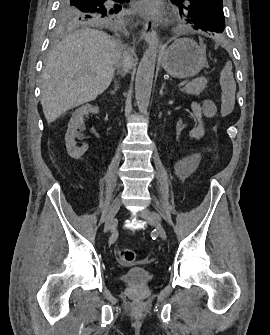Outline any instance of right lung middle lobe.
I'll list each match as a JSON object with an SVG mask.
<instances>
[{"mask_svg": "<svg viewBox=\"0 0 270 335\" xmlns=\"http://www.w3.org/2000/svg\"><path fill=\"white\" fill-rule=\"evenodd\" d=\"M57 12V29L64 32L84 26H110L117 22L123 2L104 5L106 0H60Z\"/></svg>", "mask_w": 270, "mask_h": 335, "instance_id": "dd1d6c3e", "label": "right lung middle lobe"}]
</instances>
